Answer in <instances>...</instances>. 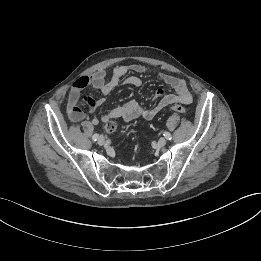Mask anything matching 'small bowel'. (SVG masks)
<instances>
[{"mask_svg":"<svg viewBox=\"0 0 261 261\" xmlns=\"http://www.w3.org/2000/svg\"><path fill=\"white\" fill-rule=\"evenodd\" d=\"M129 72L139 75L151 73L156 74L161 81L174 90V93H166L163 89L158 90L155 103L149 108L141 106L135 100H130L123 105L112 109L109 113L103 116H94L91 120L94 125L105 123L110 119L115 118H122L126 122L138 118L151 120L171 104H190L193 100L185 80L181 78L165 73L153 72L141 64L119 65L113 69L109 78H107L104 70H97L91 75L81 76L75 80L70 90L68 100L69 119L73 122H78L84 118V114L79 107L80 103L88 105L92 113H97L104 103V97L93 99L83 95V90L89 86L98 90L103 96L109 95L114 89L121 85H131L135 87L141 86V78L136 75L127 76Z\"/></svg>","mask_w":261,"mask_h":261,"instance_id":"c3829d8e","label":"small bowel"}]
</instances>
